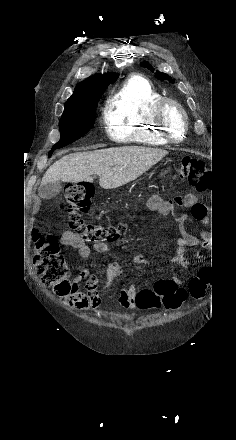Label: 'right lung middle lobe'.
<instances>
[{"instance_id":"right-lung-middle-lobe-1","label":"right lung middle lobe","mask_w":236,"mask_h":440,"mask_svg":"<svg viewBox=\"0 0 236 440\" xmlns=\"http://www.w3.org/2000/svg\"><path fill=\"white\" fill-rule=\"evenodd\" d=\"M102 94L66 102L65 110L59 121L60 141L52 150L62 148L89 132L94 125L97 100Z\"/></svg>"}]
</instances>
